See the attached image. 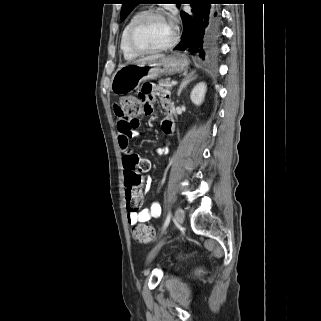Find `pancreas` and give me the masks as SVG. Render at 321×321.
I'll return each mask as SVG.
<instances>
[{
    "mask_svg": "<svg viewBox=\"0 0 321 321\" xmlns=\"http://www.w3.org/2000/svg\"><path fill=\"white\" fill-rule=\"evenodd\" d=\"M159 87H165L166 89H171L172 85H171L170 78L161 79L159 81Z\"/></svg>",
    "mask_w": 321,
    "mask_h": 321,
    "instance_id": "obj_1",
    "label": "pancreas"
}]
</instances>
